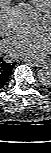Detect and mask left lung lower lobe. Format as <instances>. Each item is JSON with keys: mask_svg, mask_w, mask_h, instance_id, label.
<instances>
[{"mask_svg": "<svg viewBox=\"0 0 51 153\" xmlns=\"http://www.w3.org/2000/svg\"><path fill=\"white\" fill-rule=\"evenodd\" d=\"M48 90H49V91H51V87H50V88H48Z\"/></svg>", "mask_w": 51, "mask_h": 153, "instance_id": "obj_1", "label": "left lung lower lobe"}]
</instances>
